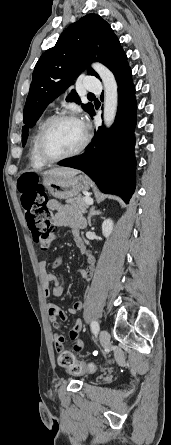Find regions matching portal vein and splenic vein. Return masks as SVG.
Segmentation results:
<instances>
[{"label": "portal vein and splenic vein", "instance_id": "18ae733b", "mask_svg": "<svg viewBox=\"0 0 171 445\" xmlns=\"http://www.w3.org/2000/svg\"><path fill=\"white\" fill-rule=\"evenodd\" d=\"M85 202H86L88 205H91V204L93 203L92 199L89 198V197H85Z\"/></svg>", "mask_w": 171, "mask_h": 445}]
</instances>
